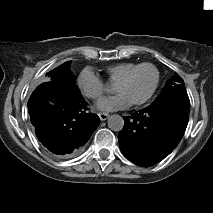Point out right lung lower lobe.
Returning <instances> with one entry per match:
<instances>
[{"label":"right lung lower lobe","instance_id":"obj_1","mask_svg":"<svg viewBox=\"0 0 213 213\" xmlns=\"http://www.w3.org/2000/svg\"><path fill=\"white\" fill-rule=\"evenodd\" d=\"M86 107L80 91L55 81L42 83L28 101L39 141L65 157L83 146L100 123L97 115L86 113Z\"/></svg>","mask_w":213,"mask_h":213}]
</instances>
